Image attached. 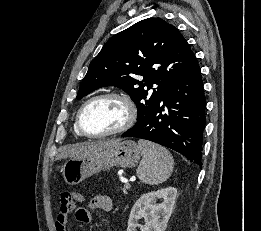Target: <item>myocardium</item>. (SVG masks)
<instances>
[{
	"mask_svg": "<svg viewBox=\"0 0 261 231\" xmlns=\"http://www.w3.org/2000/svg\"><path fill=\"white\" fill-rule=\"evenodd\" d=\"M105 98H115L124 103V105L126 106V109H127L126 122L121 127L117 128L115 130H112V131L104 132V133L92 134V133L85 131L82 126V115H83L85 109L89 105H91L93 102L101 100V99H105ZM136 119H137V108H136V105L133 102V100L128 95L119 93V92H107V93H102V94L96 95V96L88 99L78 110L77 115H76L75 124H76V128H77L78 132L84 137L104 138V137L123 134V133L127 132L128 130H130L133 127V125L136 122Z\"/></svg>",
	"mask_w": 261,
	"mask_h": 231,
	"instance_id": "myocardium-1",
	"label": "myocardium"
}]
</instances>
